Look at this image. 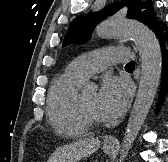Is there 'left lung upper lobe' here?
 <instances>
[{
    "mask_svg": "<svg viewBox=\"0 0 168 162\" xmlns=\"http://www.w3.org/2000/svg\"><path fill=\"white\" fill-rule=\"evenodd\" d=\"M124 4L128 6V18L138 20L147 26L157 21L151 0H123L121 3L115 2L99 12L75 18L69 26L63 41V46L71 43H85L91 37L96 24L107 16L114 14L122 8Z\"/></svg>",
    "mask_w": 168,
    "mask_h": 162,
    "instance_id": "1",
    "label": "left lung upper lobe"
}]
</instances>
